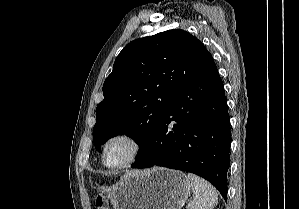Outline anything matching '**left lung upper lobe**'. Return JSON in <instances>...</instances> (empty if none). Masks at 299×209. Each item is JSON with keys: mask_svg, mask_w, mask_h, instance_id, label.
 <instances>
[{"mask_svg": "<svg viewBox=\"0 0 299 209\" xmlns=\"http://www.w3.org/2000/svg\"><path fill=\"white\" fill-rule=\"evenodd\" d=\"M211 54L194 36L173 29L136 39L117 56L96 108L95 148L118 134L140 146L150 137L173 95L210 61Z\"/></svg>", "mask_w": 299, "mask_h": 209, "instance_id": "1", "label": "left lung upper lobe"}]
</instances>
